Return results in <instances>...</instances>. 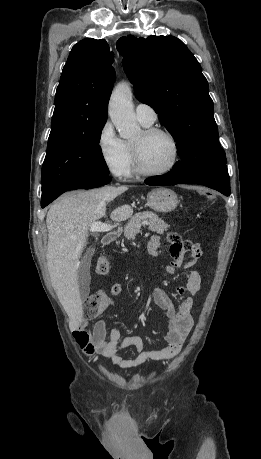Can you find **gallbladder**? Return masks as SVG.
<instances>
[{
	"instance_id": "1",
	"label": "gallbladder",
	"mask_w": 261,
	"mask_h": 459,
	"mask_svg": "<svg viewBox=\"0 0 261 459\" xmlns=\"http://www.w3.org/2000/svg\"><path fill=\"white\" fill-rule=\"evenodd\" d=\"M93 255V251H88L85 256L82 258L77 275H78V285L81 299L84 300L90 292L89 286L91 281L90 276V266H91V258Z\"/></svg>"
}]
</instances>
